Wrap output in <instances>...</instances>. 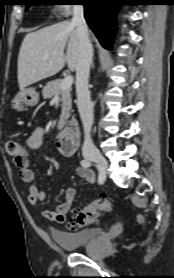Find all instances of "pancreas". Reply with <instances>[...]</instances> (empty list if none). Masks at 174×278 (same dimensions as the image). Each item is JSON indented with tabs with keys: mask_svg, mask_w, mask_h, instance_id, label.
<instances>
[{
	"mask_svg": "<svg viewBox=\"0 0 174 278\" xmlns=\"http://www.w3.org/2000/svg\"><path fill=\"white\" fill-rule=\"evenodd\" d=\"M61 79H57L55 81L48 82L46 86L42 90V94L44 98H52L56 94L61 95V107H62V114H61V123H65L66 120L70 116L71 110V88L68 89H61L60 83Z\"/></svg>",
	"mask_w": 174,
	"mask_h": 278,
	"instance_id": "1",
	"label": "pancreas"
}]
</instances>
